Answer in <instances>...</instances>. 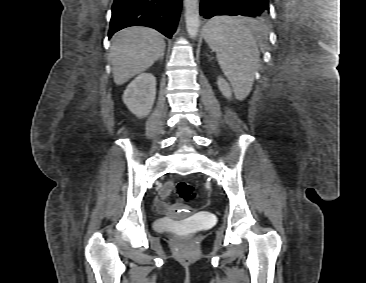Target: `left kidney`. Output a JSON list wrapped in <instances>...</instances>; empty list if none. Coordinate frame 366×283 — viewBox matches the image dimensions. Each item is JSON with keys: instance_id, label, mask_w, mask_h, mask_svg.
Here are the masks:
<instances>
[{"instance_id": "5707ae66", "label": "left kidney", "mask_w": 366, "mask_h": 283, "mask_svg": "<svg viewBox=\"0 0 366 283\" xmlns=\"http://www.w3.org/2000/svg\"><path fill=\"white\" fill-rule=\"evenodd\" d=\"M217 84L221 93L227 98L230 99L232 97V90L230 85L223 77H218Z\"/></svg>"}]
</instances>
